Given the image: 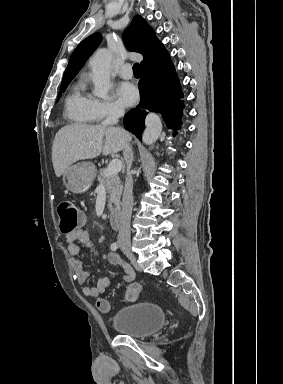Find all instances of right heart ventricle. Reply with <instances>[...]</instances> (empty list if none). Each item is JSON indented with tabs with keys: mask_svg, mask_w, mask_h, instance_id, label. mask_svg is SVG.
Segmentation results:
<instances>
[{
	"mask_svg": "<svg viewBox=\"0 0 283 384\" xmlns=\"http://www.w3.org/2000/svg\"><path fill=\"white\" fill-rule=\"evenodd\" d=\"M95 99L85 91V81L77 77L67 90L64 99V115L74 125L90 126L96 122Z\"/></svg>",
	"mask_w": 283,
	"mask_h": 384,
	"instance_id": "right-heart-ventricle-1",
	"label": "right heart ventricle"
}]
</instances>
